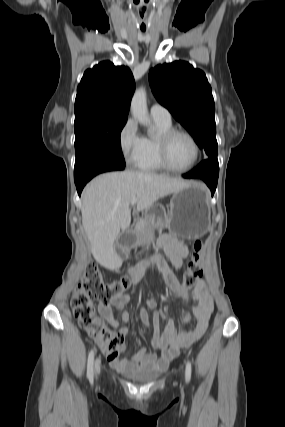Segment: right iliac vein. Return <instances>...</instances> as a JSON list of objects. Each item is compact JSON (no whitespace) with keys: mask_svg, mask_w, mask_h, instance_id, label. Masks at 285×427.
<instances>
[{"mask_svg":"<svg viewBox=\"0 0 285 427\" xmlns=\"http://www.w3.org/2000/svg\"><path fill=\"white\" fill-rule=\"evenodd\" d=\"M94 368H95L96 375H98L100 373V359L99 358L96 359Z\"/></svg>","mask_w":285,"mask_h":427,"instance_id":"1","label":"right iliac vein"}]
</instances>
